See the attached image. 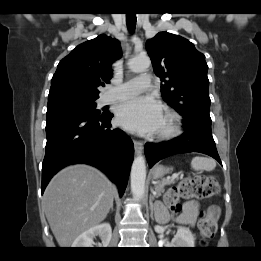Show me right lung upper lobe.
Returning <instances> with one entry per match:
<instances>
[{
  "mask_svg": "<svg viewBox=\"0 0 261 261\" xmlns=\"http://www.w3.org/2000/svg\"><path fill=\"white\" fill-rule=\"evenodd\" d=\"M121 56L119 41L101 34L75 47L58 64L48 98L74 94L98 98V86L112 76V63Z\"/></svg>",
  "mask_w": 261,
  "mask_h": 261,
  "instance_id": "1",
  "label": "right lung upper lobe"
}]
</instances>
